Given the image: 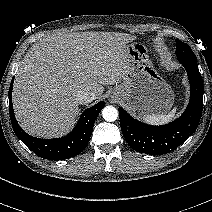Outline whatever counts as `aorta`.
Segmentation results:
<instances>
[{
  "label": "aorta",
  "instance_id": "aorta-1",
  "mask_svg": "<svg viewBox=\"0 0 212 212\" xmlns=\"http://www.w3.org/2000/svg\"><path fill=\"white\" fill-rule=\"evenodd\" d=\"M102 117L108 122H113L118 118V110L113 106H106L102 110Z\"/></svg>",
  "mask_w": 212,
  "mask_h": 212
}]
</instances>
